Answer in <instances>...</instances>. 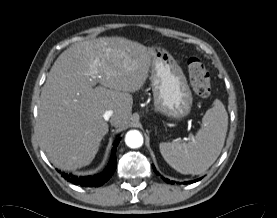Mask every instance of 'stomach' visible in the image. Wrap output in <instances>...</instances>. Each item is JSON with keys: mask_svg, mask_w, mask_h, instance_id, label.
Returning <instances> with one entry per match:
<instances>
[{"mask_svg": "<svg viewBox=\"0 0 277 218\" xmlns=\"http://www.w3.org/2000/svg\"><path fill=\"white\" fill-rule=\"evenodd\" d=\"M150 81L156 112L180 121L189 115L193 97L186 77L175 59L161 48H153Z\"/></svg>", "mask_w": 277, "mask_h": 218, "instance_id": "stomach-1", "label": "stomach"}]
</instances>
